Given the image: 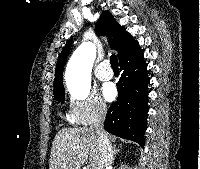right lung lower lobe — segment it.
Returning <instances> with one entry per match:
<instances>
[{
  "mask_svg": "<svg viewBox=\"0 0 200 169\" xmlns=\"http://www.w3.org/2000/svg\"><path fill=\"white\" fill-rule=\"evenodd\" d=\"M120 70L122 74L117 83L119 96L108 109L104 128L144 147L149 78L142 51L120 62Z\"/></svg>",
  "mask_w": 200,
  "mask_h": 169,
  "instance_id": "1",
  "label": "right lung lower lobe"
}]
</instances>
